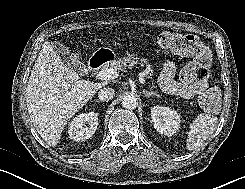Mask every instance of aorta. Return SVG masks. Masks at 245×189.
Listing matches in <instances>:
<instances>
[{
    "mask_svg": "<svg viewBox=\"0 0 245 189\" xmlns=\"http://www.w3.org/2000/svg\"><path fill=\"white\" fill-rule=\"evenodd\" d=\"M138 105V99L134 94H127L123 97L122 106L125 109H135Z\"/></svg>",
    "mask_w": 245,
    "mask_h": 189,
    "instance_id": "aorta-1",
    "label": "aorta"
}]
</instances>
